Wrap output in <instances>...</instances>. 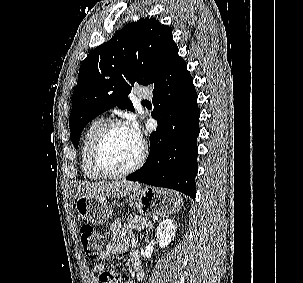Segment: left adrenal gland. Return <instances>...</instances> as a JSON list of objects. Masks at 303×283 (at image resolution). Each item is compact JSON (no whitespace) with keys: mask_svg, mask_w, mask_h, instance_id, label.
<instances>
[{"mask_svg":"<svg viewBox=\"0 0 303 283\" xmlns=\"http://www.w3.org/2000/svg\"><path fill=\"white\" fill-rule=\"evenodd\" d=\"M152 228V225L148 228V230L146 231V239H147V234L149 232V230Z\"/></svg>","mask_w":303,"mask_h":283,"instance_id":"a2214340","label":"left adrenal gland"}]
</instances>
